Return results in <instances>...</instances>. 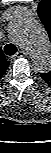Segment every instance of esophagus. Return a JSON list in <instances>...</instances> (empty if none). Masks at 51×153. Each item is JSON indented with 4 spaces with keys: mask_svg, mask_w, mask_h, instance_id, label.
Wrapping results in <instances>:
<instances>
[{
    "mask_svg": "<svg viewBox=\"0 0 51 153\" xmlns=\"http://www.w3.org/2000/svg\"><path fill=\"white\" fill-rule=\"evenodd\" d=\"M26 55V53L24 51H19L16 53L15 57H24Z\"/></svg>",
    "mask_w": 51,
    "mask_h": 153,
    "instance_id": "esophagus-1",
    "label": "esophagus"
}]
</instances>
